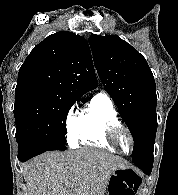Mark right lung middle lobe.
I'll list each match as a JSON object with an SVG mask.
<instances>
[{"label":"right lung middle lobe","instance_id":"obj_1","mask_svg":"<svg viewBox=\"0 0 178 195\" xmlns=\"http://www.w3.org/2000/svg\"><path fill=\"white\" fill-rule=\"evenodd\" d=\"M76 101L40 94L15 97L18 146L65 144L67 114Z\"/></svg>","mask_w":178,"mask_h":195}]
</instances>
